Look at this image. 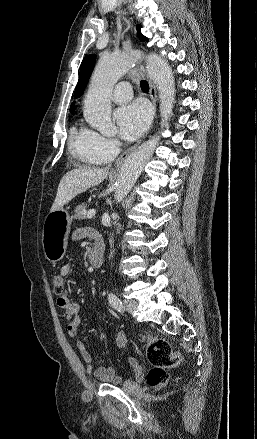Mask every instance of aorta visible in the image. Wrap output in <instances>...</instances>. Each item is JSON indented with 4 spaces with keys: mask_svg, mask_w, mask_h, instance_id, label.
<instances>
[{
    "mask_svg": "<svg viewBox=\"0 0 257 439\" xmlns=\"http://www.w3.org/2000/svg\"><path fill=\"white\" fill-rule=\"evenodd\" d=\"M140 53L128 51L120 55L104 54L95 69L86 96L84 117L101 134L112 136L116 132L111 118L110 97L117 81L133 66ZM147 72L159 91L160 110L166 122L172 115L175 101V82L168 62L157 54L147 56ZM159 137L143 143L134 150L121 167L114 193V200L121 202L131 191L146 163L158 145Z\"/></svg>",
    "mask_w": 257,
    "mask_h": 439,
    "instance_id": "aorta-1",
    "label": "aorta"
}]
</instances>
